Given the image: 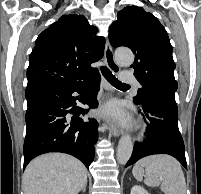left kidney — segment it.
I'll list each match as a JSON object with an SVG mask.
<instances>
[{
    "label": "left kidney",
    "instance_id": "obj_1",
    "mask_svg": "<svg viewBox=\"0 0 201 194\" xmlns=\"http://www.w3.org/2000/svg\"><path fill=\"white\" fill-rule=\"evenodd\" d=\"M130 194H150V193H148V191H146L143 187L135 185L132 187Z\"/></svg>",
    "mask_w": 201,
    "mask_h": 194
}]
</instances>
